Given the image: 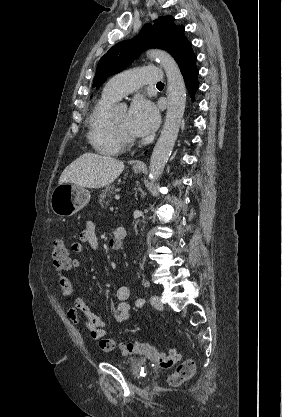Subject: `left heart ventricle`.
Returning a JSON list of instances; mask_svg holds the SVG:
<instances>
[{"instance_id":"obj_1","label":"left heart ventricle","mask_w":282,"mask_h":417,"mask_svg":"<svg viewBox=\"0 0 282 417\" xmlns=\"http://www.w3.org/2000/svg\"><path fill=\"white\" fill-rule=\"evenodd\" d=\"M116 125L120 128V130L125 133L126 135L132 136V134L128 131L126 121H127V112L126 111H116L113 113Z\"/></svg>"}]
</instances>
